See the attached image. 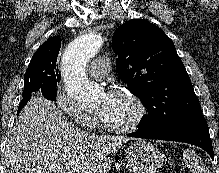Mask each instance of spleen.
<instances>
[{
	"label": "spleen",
	"instance_id": "1",
	"mask_svg": "<svg viewBox=\"0 0 219 173\" xmlns=\"http://www.w3.org/2000/svg\"><path fill=\"white\" fill-rule=\"evenodd\" d=\"M184 160L188 168L192 171V173H206V169L203 168V165L199 164L197 155L195 154L194 151L191 150L185 151Z\"/></svg>",
	"mask_w": 219,
	"mask_h": 173
}]
</instances>
